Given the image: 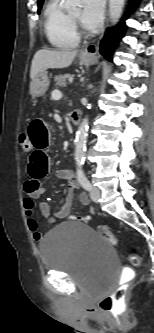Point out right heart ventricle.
Masks as SVG:
<instances>
[{
  "mask_svg": "<svg viewBox=\"0 0 154 333\" xmlns=\"http://www.w3.org/2000/svg\"><path fill=\"white\" fill-rule=\"evenodd\" d=\"M44 31L49 43L55 48L71 49L79 44V36L62 7V0H49L47 3Z\"/></svg>",
  "mask_w": 154,
  "mask_h": 333,
  "instance_id": "obj_1",
  "label": "right heart ventricle"
}]
</instances>
